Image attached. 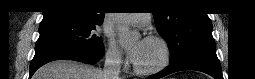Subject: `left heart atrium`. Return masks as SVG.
<instances>
[{
  "instance_id": "left-heart-atrium-1",
  "label": "left heart atrium",
  "mask_w": 255,
  "mask_h": 79,
  "mask_svg": "<svg viewBox=\"0 0 255 79\" xmlns=\"http://www.w3.org/2000/svg\"><path fill=\"white\" fill-rule=\"evenodd\" d=\"M144 41L139 42L137 45H135L130 51L129 55L133 62H136L138 57L141 54L142 48H143Z\"/></svg>"
}]
</instances>
